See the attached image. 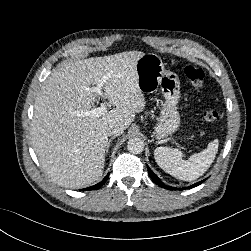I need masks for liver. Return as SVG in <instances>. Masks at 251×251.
<instances>
[{"label":"liver","mask_w":251,"mask_h":251,"mask_svg":"<svg viewBox=\"0 0 251 251\" xmlns=\"http://www.w3.org/2000/svg\"><path fill=\"white\" fill-rule=\"evenodd\" d=\"M145 53L126 51L63 62L36 96L31 141L46 174L58 185L76 189L103 174L110 126L127 129L145 108L136 63ZM103 82L105 97L116 108L100 117L77 116L92 110L91 86Z\"/></svg>","instance_id":"6515ba94"}]
</instances>
